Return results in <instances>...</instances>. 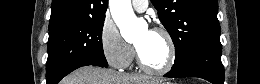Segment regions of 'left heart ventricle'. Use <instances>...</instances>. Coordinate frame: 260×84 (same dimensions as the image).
<instances>
[{"label":"left heart ventricle","mask_w":260,"mask_h":84,"mask_svg":"<svg viewBox=\"0 0 260 84\" xmlns=\"http://www.w3.org/2000/svg\"><path fill=\"white\" fill-rule=\"evenodd\" d=\"M135 45L149 67L161 68L166 64L169 48L162 35L145 30L139 35Z\"/></svg>","instance_id":"obj_1"}]
</instances>
